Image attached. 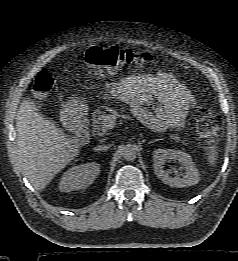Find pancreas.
Segmentation results:
<instances>
[{
	"label": "pancreas",
	"mask_w": 238,
	"mask_h": 261,
	"mask_svg": "<svg viewBox=\"0 0 238 261\" xmlns=\"http://www.w3.org/2000/svg\"><path fill=\"white\" fill-rule=\"evenodd\" d=\"M106 115V110H102L101 108L96 109L92 113V131L94 134L103 136L107 134V128L103 126V119ZM170 138L179 142L180 137L178 135H170ZM184 143V142H183Z\"/></svg>",
	"instance_id": "1"
}]
</instances>
